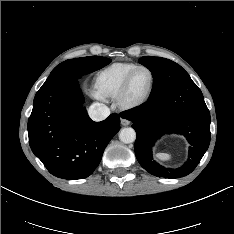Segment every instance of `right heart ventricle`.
<instances>
[{
	"label": "right heart ventricle",
	"mask_w": 234,
	"mask_h": 234,
	"mask_svg": "<svg viewBox=\"0 0 234 234\" xmlns=\"http://www.w3.org/2000/svg\"><path fill=\"white\" fill-rule=\"evenodd\" d=\"M138 65L134 63H115L101 71L95 77V88L101 98H117L128 74Z\"/></svg>",
	"instance_id": "obj_1"
}]
</instances>
